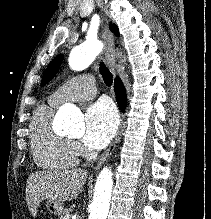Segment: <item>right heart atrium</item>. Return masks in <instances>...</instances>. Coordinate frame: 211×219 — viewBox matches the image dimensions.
Here are the masks:
<instances>
[{
    "label": "right heart atrium",
    "mask_w": 211,
    "mask_h": 219,
    "mask_svg": "<svg viewBox=\"0 0 211 219\" xmlns=\"http://www.w3.org/2000/svg\"><path fill=\"white\" fill-rule=\"evenodd\" d=\"M73 146H74V148H75V150L77 151V153H81V152H83V149H82V147L80 146V144H78V143H73Z\"/></svg>",
    "instance_id": "1"
}]
</instances>
